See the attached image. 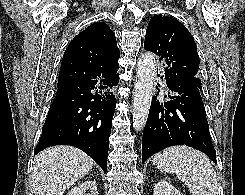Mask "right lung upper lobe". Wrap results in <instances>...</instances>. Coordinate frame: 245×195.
I'll list each match as a JSON object with an SVG mask.
<instances>
[{"label": "right lung upper lobe", "instance_id": "right-lung-upper-lobe-1", "mask_svg": "<svg viewBox=\"0 0 245 195\" xmlns=\"http://www.w3.org/2000/svg\"><path fill=\"white\" fill-rule=\"evenodd\" d=\"M120 51L114 33L98 22L80 32L67 47L58 78V85L78 83L94 78L99 70L116 74Z\"/></svg>", "mask_w": 245, "mask_h": 195}]
</instances>
